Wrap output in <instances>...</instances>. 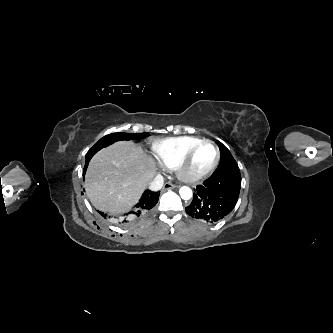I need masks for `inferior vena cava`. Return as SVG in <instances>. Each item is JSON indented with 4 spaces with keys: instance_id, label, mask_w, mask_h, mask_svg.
Masks as SVG:
<instances>
[{
    "instance_id": "obj_1",
    "label": "inferior vena cava",
    "mask_w": 333,
    "mask_h": 333,
    "mask_svg": "<svg viewBox=\"0 0 333 333\" xmlns=\"http://www.w3.org/2000/svg\"><path fill=\"white\" fill-rule=\"evenodd\" d=\"M164 183L163 176L158 174L154 177V179L149 184V189L152 191H158L162 188Z\"/></svg>"
}]
</instances>
